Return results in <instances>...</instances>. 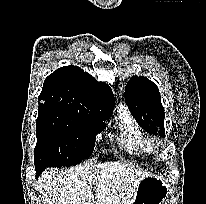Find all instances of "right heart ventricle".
Segmentation results:
<instances>
[{
    "label": "right heart ventricle",
    "instance_id": "obj_1",
    "mask_svg": "<svg viewBox=\"0 0 206 204\" xmlns=\"http://www.w3.org/2000/svg\"><path fill=\"white\" fill-rule=\"evenodd\" d=\"M120 145L131 155L149 158L155 153V144L140 128L127 110H121L118 116Z\"/></svg>",
    "mask_w": 206,
    "mask_h": 204
}]
</instances>
